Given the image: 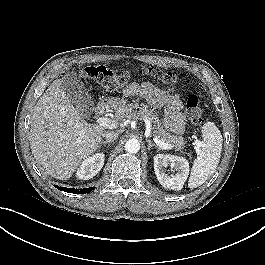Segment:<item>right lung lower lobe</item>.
I'll return each instance as SVG.
<instances>
[{"instance_id": "1", "label": "right lung lower lobe", "mask_w": 265, "mask_h": 265, "mask_svg": "<svg viewBox=\"0 0 265 265\" xmlns=\"http://www.w3.org/2000/svg\"><path fill=\"white\" fill-rule=\"evenodd\" d=\"M55 187L61 191H65L68 193H74V194H86L94 190V187L85 188V189H74V188H66V187H59V186H55Z\"/></svg>"}]
</instances>
